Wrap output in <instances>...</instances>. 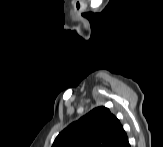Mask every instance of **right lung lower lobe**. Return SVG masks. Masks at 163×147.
<instances>
[{"mask_svg": "<svg viewBox=\"0 0 163 147\" xmlns=\"http://www.w3.org/2000/svg\"><path fill=\"white\" fill-rule=\"evenodd\" d=\"M113 147H130L127 135L123 136Z\"/></svg>", "mask_w": 163, "mask_h": 147, "instance_id": "right-lung-lower-lobe-1", "label": "right lung lower lobe"}]
</instances>
